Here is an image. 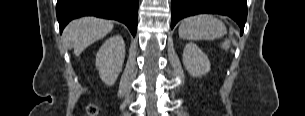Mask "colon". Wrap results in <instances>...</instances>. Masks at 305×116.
Here are the masks:
<instances>
[{
    "label": "colon",
    "mask_w": 305,
    "mask_h": 116,
    "mask_svg": "<svg viewBox=\"0 0 305 116\" xmlns=\"http://www.w3.org/2000/svg\"><path fill=\"white\" fill-rule=\"evenodd\" d=\"M99 112V108L94 105V104H91L87 107V113L90 115V116H96Z\"/></svg>",
    "instance_id": "obj_1"
}]
</instances>
